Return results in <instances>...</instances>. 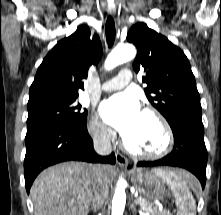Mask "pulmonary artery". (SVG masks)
Returning <instances> with one entry per match:
<instances>
[{
  "label": "pulmonary artery",
  "mask_w": 221,
  "mask_h": 215,
  "mask_svg": "<svg viewBox=\"0 0 221 215\" xmlns=\"http://www.w3.org/2000/svg\"><path fill=\"white\" fill-rule=\"evenodd\" d=\"M132 81V73L129 69H122L119 74L104 82L101 86L103 91H115L122 89Z\"/></svg>",
  "instance_id": "pulmonary-artery-1"
}]
</instances>
